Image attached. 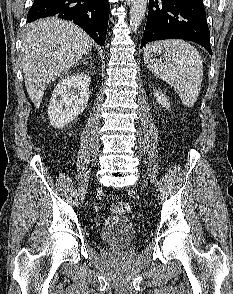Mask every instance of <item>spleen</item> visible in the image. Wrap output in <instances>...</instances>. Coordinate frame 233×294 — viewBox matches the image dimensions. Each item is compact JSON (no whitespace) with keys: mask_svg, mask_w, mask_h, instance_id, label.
<instances>
[{"mask_svg":"<svg viewBox=\"0 0 233 294\" xmlns=\"http://www.w3.org/2000/svg\"><path fill=\"white\" fill-rule=\"evenodd\" d=\"M164 52V64L153 61L151 53ZM144 62L158 78L173 87L186 107L196 102L203 79V64L197 49L190 43L169 39L146 45Z\"/></svg>","mask_w":233,"mask_h":294,"instance_id":"obj_1","label":"spleen"}]
</instances>
